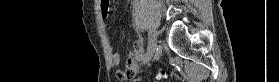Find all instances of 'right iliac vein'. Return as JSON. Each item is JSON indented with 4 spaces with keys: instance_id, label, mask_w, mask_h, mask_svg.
<instances>
[{
    "instance_id": "63e3f726",
    "label": "right iliac vein",
    "mask_w": 279,
    "mask_h": 82,
    "mask_svg": "<svg viewBox=\"0 0 279 82\" xmlns=\"http://www.w3.org/2000/svg\"><path fill=\"white\" fill-rule=\"evenodd\" d=\"M156 45H157V32L155 30H151L148 38L147 53L143 57V64H146L151 60L155 52Z\"/></svg>"
}]
</instances>
